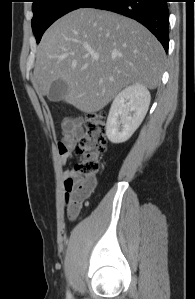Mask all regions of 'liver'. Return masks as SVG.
<instances>
[{
  "label": "liver",
  "mask_w": 195,
  "mask_h": 299,
  "mask_svg": "<svg viewBox=\"0 0 195 299\" xmlns=\"http://www.w3.org/2000/svg\"><path fill=\"white\" fill-rule=\"evenodd\" d=\"M164 61L160 42L137 21L79 8L44 33L32 83L39 95H48L52 83L63 80L68 90L62 99L82 112L96 113L130 84L156 88Z\"/></svg>",
  "instance_id": "liver-1"
}]
</instances>
